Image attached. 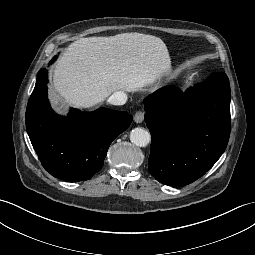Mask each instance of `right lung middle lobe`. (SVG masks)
I'll return each instance as SVG.
<instances>
[{
  "instance_id": "right-lung-middle-lobe-1",
  "label": "right lung middle lobe",
  "mask_w": 255,
  "mask_h": 255,
  "mask_svg": "<svg viewBox=\"0 0 255 255\" xmlns=\"http://www.w3.org/2000/svg\"><path fill=\"white\" fill-rule=\"evenodd\" d=\"M55 60H56V57H54V59H53L52 61H55ZM52 61H51V62H52Z\"/></svg>"
}]
</instances>
